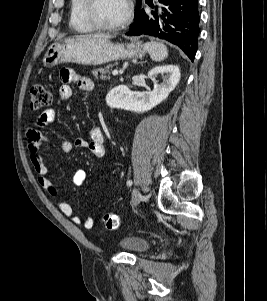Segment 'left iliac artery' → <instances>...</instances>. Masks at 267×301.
Wrapping results in <instances>:
<instances>
[{
  "label": "left iliac artery",
  "instance_id": "obj_1",
  "mask_svg": "<svg viewBox=\"0 0 267 301\" xmlns=\"http://www.w3.org/2000/svg\"><path fill=\"white\" fill-rule=\"evenodd\" d=\"M133 184L132 180L127 181V186H131Z\"/></svg>",
  "mask_w": 267,
  "mask_h": 301
}]
</instances>
